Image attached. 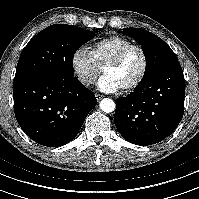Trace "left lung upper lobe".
<instances>
[{
  "mask_svg": "<svg viewBox=\"0 0 199 199\" xmlns=\"http://www.w3.org/2000/svg\"><path fill=\"white\" fill-rule=\"evenodd\" d=\"M123 33L135 39L146 54L147 65L141 82L149 79L163 68L178 63V59L169 45L155 34L141 28H124Z\"/></svg>",
  "mask_w": 199,
  "mask_h": 199,
  "instance_id": "5c2ea615",
  "label": "left lung upper lobe"
}]
</instances>
